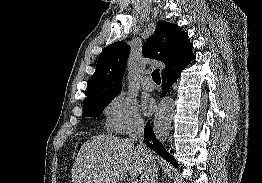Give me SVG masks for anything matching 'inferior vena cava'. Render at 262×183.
<instances>
[{"mask_svg": "<svg viewBox=\"0 0 262 183\" xmlns=\"http://www.w3.org/2000/svg\"><path fill=\"white\" fill-rule=\"evenodd\" d=\"M144 127L142 119L134 120L129 137L133 141H139L138 152L142 158V168L140 173V183H158V174L155 158L148 148L144 145Z\"/></svg>", "mask_w": 262, "mask_h": 183, "instance_id": "inferior-vena-cava-1", "label": "inferior vena cava"}]
</instances>
